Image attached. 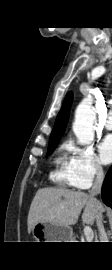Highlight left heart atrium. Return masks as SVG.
Returning <instances> with one entry per match:
<instances>
[{
    "mask_svg": "<svg viewBox=\"0 0 112 270\" xmlns=\"http://www.w3.org/2000/svg\"><path fill=\"white\" fill-rule=\"evenodd\" d=\"M99 153L103 163L112 162V135L106 136L99 145Z\"/></svg>",
    "mask_w": 112,
    "mask_h": 270,
    "instance_id": "1",
    "label": "left heart atrium"
}]
</instances>
